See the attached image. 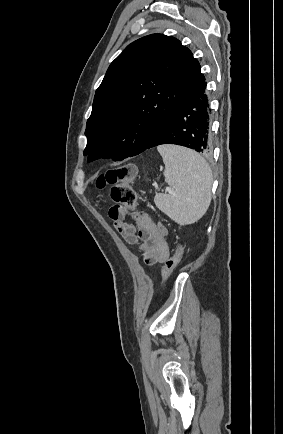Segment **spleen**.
<instances>
[{
  "mask_svg": "<svg viewBox=\"0 0 283 434\" xmlns=\"http://www.w3.org/2000/svg\"><path fill=\"white\" fill-rule=\"evenodd\" d=\"M157 149L172 193L157 194L156 206L180 225L198 221L206 213L212 197L213 177L209 164L191 149L174 145H161Z\"/></svg>",
  "mask_w": 283,
  "mask_h": 434,
  "instance_id": "3e777b00",
  "label": "spleen"
}]
</instances>
